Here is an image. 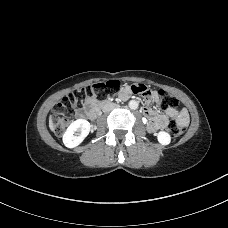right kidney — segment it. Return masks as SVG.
Here are the masks:
<instances>
[{
	"label": "right kidney",
	"mask_w": 228,
	"mask_h": 228,
	"mask_svg": "<svg viewBox=\"0 0 228 228\" xmlns=\"http://www.w3.org/2000/svg\"><path fill=\"white\" fill-rule=\"evenodd\" d=\"M90 129L91 125L85 119H78L72 122L63 135L64 145L68 148H74L78 146L89 134ZM76 131H80L79 136L74 135Z\"/></svg>",
	"instance_id": "1"
}]
</instances>
